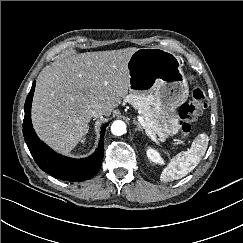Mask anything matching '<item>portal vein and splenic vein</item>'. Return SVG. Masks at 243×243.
<instances>
[{
    "label": "portal vein and splenic vein",
    "mask_w": 243,
    "mask_h": 243,
    "mask_svg": "<svg viewBox=\"0 0 243 243\" xmlns=\"http://www.w3.org/2000/svg\"><path fill=\"white\" fill-rule=\"evenodd\" d=\"M137 118H138V121L140 122V124H141V125L143 126V128L146 130V133L149 135V137H150L154 142L158 143L156 137H155L154 135H152V134L150 133L149 130H147V124H146V122L144 121L143 117H142V116H138Z\"/></svg>",
    "instance_id": "1"
}]
</instances>
